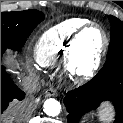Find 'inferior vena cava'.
<instances>
[{"mask_svg": "<svg viewBox=\"0 0 123 123\" xmlns=\"http://www.w3.org/2000/svg\"><path fill=\"white\" fill-rule=\"evenodd\" d=\"M40 87V82L34 76H27L22 80V88L28 93H35Z\"/></svg>", "mask_w": 123, "mask_h": 123, "instance_id": "obj_1", "label": "inferior vena cava"}]
</instances>
